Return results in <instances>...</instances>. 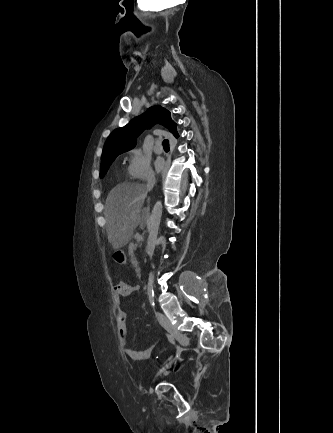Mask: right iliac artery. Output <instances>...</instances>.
<instances>
[{
  "label": "right iliac artery",
  "mask_w": 333,
  "mask_h": 433,
  "mask_svg": "<svg viewBox=\"0 0 333 433\" xmlns=\"http://www.w3.org/2000/svg\"><path fill=\"white\" fill-rule=\"evenodd\" d=\"M166 336H167L168 341H169L170 343H172L173 345L176 344V343H175V340H174V338H173L172 335H170L169 333H166Z\"/></svg>",
  "instance_id": "obj_1"
}]
</instances>
